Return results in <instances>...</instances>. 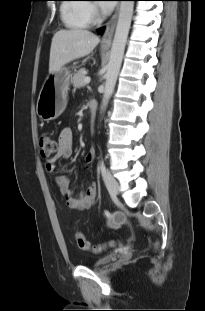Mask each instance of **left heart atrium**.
I'll return each instance as SVG.
<instances>
[{
    "mask_svg": "<svg viewBox=\"0 0 205 311\" xmlns=\"http://www.w3.org/2000/svg\"><path fill=\"white\" fill-rule=\"evenodd\" d=\"M112 7H113L112 2H105L102 4V9L107 13L112 10Z\"/></svg>",
    "mask_w": 205,
    "mask_h": 311,
    "instance_id": "1",
    "label": "left heart atrium"
}]
</instances>
